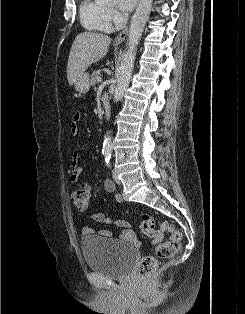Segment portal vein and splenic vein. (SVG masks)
<instances>
[{
	"instance_id": "portal-vein-and-splenic-vein-1",
	"label": "portal vein and splenic vein",
	"mask_w": 245,
	"mask_h": 314,
	"mask_svg": "<svg viewBox=\"0 0 245 314\" xmlns=\"http://www.w3.org/2000/svg\"><path fill=\"white\" fill-rule=\"evenodd\" d=\"M97 82H101V77H97Z\"/></svg>"
}]
</instances>
